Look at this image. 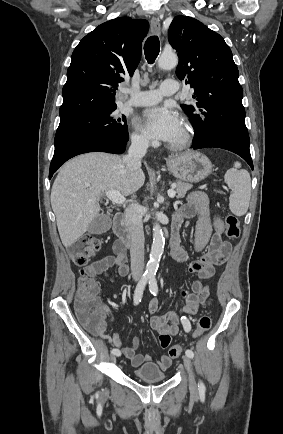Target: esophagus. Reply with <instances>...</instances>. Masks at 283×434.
I'll use <instances>...</instances> for the list:
<instances>
[{"label":"esophagus","mask_w":283,"mask_h":434,"mask_svg":"<svg viewBox=\"0 0 283 434\" xmlns=\"http://www.w3.org/2000/svg\"><path fill=\"white\" fill-rule=\"evenodd\" d=\"M150 23H151V28H152L153 33L156 35H160L161 26H160L159 19L156 17H152Z\"/></svg>","instance_id":"1"}]
</instances>
